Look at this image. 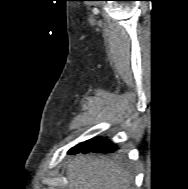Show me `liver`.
<instances>
[{"label": "liver", "mask_w": 188, "mask_h": 189, "mask_svg": "<svg viewBox=\"0 0 188 189\" xmlns=\"http://www.w3.org/2000/svg\"><path fill=\"white\" fill-rule=\"evenodd\" d=\"M68 189H134L129 172L109 160L79 156L70 160Z\"/></svg>", "instance_id": "6515ba94"}]
</instances>
